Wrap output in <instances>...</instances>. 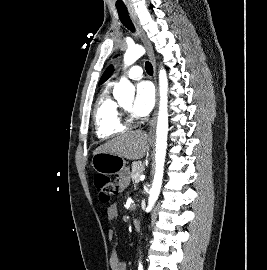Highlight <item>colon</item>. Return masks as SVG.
<instances>
[{"label": "colon", "instance_id": "colon-1", "mask_svg": "<svg viewBox=\"0 0 267 270\" xmlns=\"http://www.w3.org/2000/svg\"><path fill=\"white\" fill-rule=\"evenodd\" d=\"M94 186L98 192L99 200L108 203L113 197L120 193L121 185L116 179L110 176L99 174L94 178Z\"/></svg>", "mask_w": 267, "mask_h": 270}]
</instances>
